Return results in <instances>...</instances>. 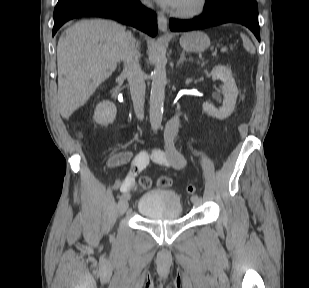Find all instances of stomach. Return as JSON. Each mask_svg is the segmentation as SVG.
I'll return each mask as SVG.
<instances>
[{
	"label": "stomach",
	"instance_id": "stomach-1",
	"mask_svg": "<svg viewBox=\"0 0 309 288\" xmlns=\"http://www.w3.org/2000/svg\"><path fill=\"white\" fill-rule=\"evenodd\" d=\"M181 47L190 52H201L210 46L209 37L200 31L185 33L180 38Z\"/></svg>",
	"mask_w": 309,
	"mask_h": 288
}]
</instances>
